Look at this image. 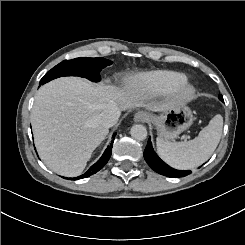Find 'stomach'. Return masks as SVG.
<instances>
[{
  "mask_svg": "<svg viewBox=\"0 0 245 245\" xmlns=\"http://www.w3.org/2000/svg\"><path fill=\"white\" fill-rule=\"evenodd\" d=\"M195 122L192 109L185 104H170L158 115L153 114L150 122L156 127L158 135L163 141L175 139Z\"/></svg>",
  "mask_w": 245,
  "mask_h": 245,
  "instance_id": "obj_1",
  "label": "stomach"
}]
</instances>
